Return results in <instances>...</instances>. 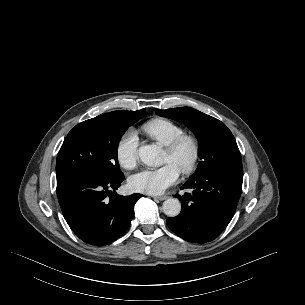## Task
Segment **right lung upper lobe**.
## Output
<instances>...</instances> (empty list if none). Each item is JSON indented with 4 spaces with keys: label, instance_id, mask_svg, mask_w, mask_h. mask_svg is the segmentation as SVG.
Instances as JSON below:
<instances>
[{
    "label": "right lung upper lobe",
    "instance_id": "obj_1",
    "mask_svg": "<svg viewBox=\"0 0 305 305\" xmlns=\"http://www.w3.org/2000/svg\"><path fill=\"white\" fill-rule=\"evenodd\" d=\"M119 112L124 113V114H128V113H130L131 111H119Z\"/></svg>",
    "mask_w": 305,
    "mask_h": 305
}]
</instances>
